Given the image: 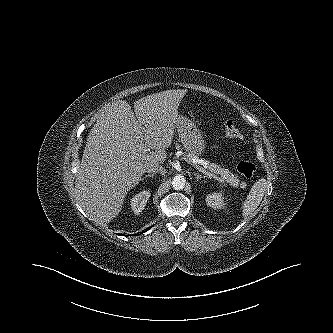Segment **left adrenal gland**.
Returning a JSON list of instances; mask_svg holds the SVG:
<instances>
[{"label": "left adrenal gland", "instance_id": "obj_1", "mask_svg": "<svg viewBox=\"0 0 333 333\" xmlns=\"http://www.w3.org/2000/svg\"><path fill=\"white\" fill-rule=\"evenodd\" d=\"M194 174V176H195V178L197 179V181L198 180H201L202 178H205V176H202V175H200V174H198V173H193Z\"/></svg>", "mask_w": 333, "mask_h": 333}]
</instances>
